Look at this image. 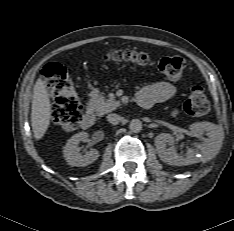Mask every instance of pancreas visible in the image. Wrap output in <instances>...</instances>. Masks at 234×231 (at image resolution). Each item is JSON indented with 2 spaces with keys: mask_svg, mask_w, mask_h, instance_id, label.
<instances>
[{
  "mask_svg": "<svg viewBox=\"0 0 234 231\" xmlns=\"http://www.w3.org/2000/svg\"><path fill=\"white\" fill-rule=\"evenodd\" d=\"M89 106L98 116H103L120 106V102L114 99H106L104 95L98 94L97 91L91 93Z\"/></svg>",
  "mask_w": 234,
  "mask_h": 231,
  "instance_id": "1",
  "label": "pancreas"
}]
</instances>
